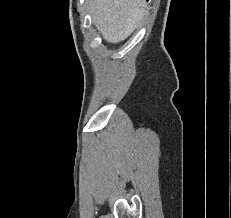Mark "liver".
Segmentation results:
<instances>
[{
  "label": "liver",
  "mask_w": 231,
  "mask_h": 218,
  "mask_svg": "<svg viewBox=\"0 0 231 218\" xmlns=\"http://www.w3.org/2000/svg\"><path fill=\"white\" fill-rule=\"evenodd\" d=\"M88 4L93 23L109 43L129 37L146 8L145 0H89Z\"/></svg>",
  "instance_id": "liver-1"
}]
</instances>
